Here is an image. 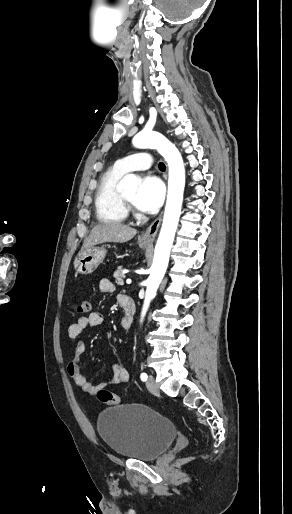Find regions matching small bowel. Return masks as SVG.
Listing matches in <instances>:
<instances>
[{
  "instance_id": "1",
  "label": "small bowel",
  "mask_w": 292,
  "mask_h": 514,
  "mask_svg": "<svg viewBox=\"0 0 292 514\" xmlns=\"http://www.w3.org/2000/svg\"><path fill=\"white\" fill-rule=\"evenodd\" d=\"M99 290L104 294L112 293L114 291V284L109 279H101L99 281ZM124 321L125 317L121 320L122 327L124 325ZM103 322L104 317L102 313L94 311L88 316L80 317L75 323L69 326L67 332L69 343L75 345V354L67 363V373L73 379L75 384L88 394H95L100 390L107 389L109 386L124 384L129 380V372L120 363L114 364L112 378L100 383L89 381L87 374L82 372L80 368V356L86 349L85 344L80 340L81 333L87 327H100Z\"/></svg>"
}]
</instances>
